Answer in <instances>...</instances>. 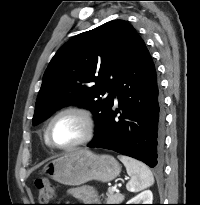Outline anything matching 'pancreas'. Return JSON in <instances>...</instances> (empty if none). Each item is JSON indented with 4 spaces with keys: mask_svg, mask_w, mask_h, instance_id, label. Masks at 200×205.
<instances>
[{
    "mask_svg": "<svg viewBox=\"0 0 200 205\" xmlns=\"http://www.w3.org/2000/svg\"><path fill=\"white\" fill-rule=\"evenodd\" d=\"M107 198L106 202L107 204H119L124 200V195L120 193H114V191L109 188L108 192L106 193Z\"/></svg>",
    "mask_w": 200,
    "mask_h": 205,
    "instance_id": "obj_1",
    "label": "pancreas"
}]
</instances>
